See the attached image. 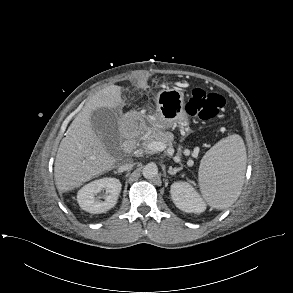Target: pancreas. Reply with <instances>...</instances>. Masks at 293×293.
<instances>
[{"label": "pancreas", "instance_id": "obj_1", "mask_svg": "<svg viewBox=\"0 0 293 293\" xmlns=\"http://www.w3.org/2000/svg\"><path fill=\"white\" fill-rule=\"evenodd\" d=\"M140 139L142 140L141 151L145 153H153L154 151L149 150L147 145L152 141H160L171 146L173 142V134L170 132L162 131L160 129H152L145 132Z\"/></svg>", "mask_w": 293, "mask_h": 293}]
</instances>
